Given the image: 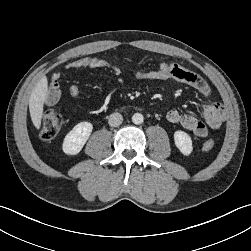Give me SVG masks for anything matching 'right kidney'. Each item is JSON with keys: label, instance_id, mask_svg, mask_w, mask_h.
Here are the masks:
<instances>
[{"label": "right kidney", "instance_id": "right-kidney-1", "mask_svg": "<svg viewBox=\"0 0 251 251\" xmlns=\"http://www.w3.org/2000/svg\"><path fill=\"white\" fill-rule=\"evenodd\" d=\"M93 125L87 121L78 123L65 136L62 149L67 155L78 154L91 135Z\"/></svg>", "mask_w": 251, "mask_h": 251}]
</instances>
